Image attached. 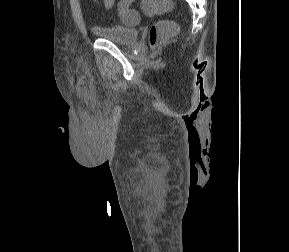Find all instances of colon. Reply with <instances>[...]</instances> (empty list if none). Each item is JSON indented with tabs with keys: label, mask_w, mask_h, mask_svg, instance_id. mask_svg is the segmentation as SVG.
Segmentation results:
<instances>
[{
	"label": "colon",
	"mask_w": 289,
	"mask_h": 252,
	"mask_svg": "<svg viewBox=\"0 0 289 252\" xmlns=\"http://www.w3.org/2000/svg\"><path fill=\"white\" fill-rule=\"evenodd\" d=\"M133 0H121L117 5L120 19L126 24H136L139 14L130 7ZM140 6L146 15H160L172 8L171 0H141ZM177 24L172 20H161L154 23L148 33L149 45L154 48L177 33Z\"/></svg>",
	"instance_id": "1"
}]
</instances>
